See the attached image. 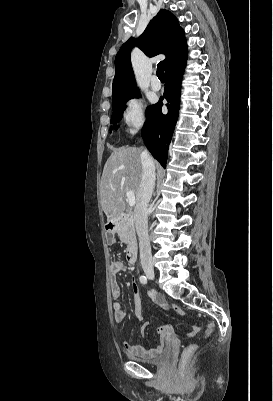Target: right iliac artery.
<instances>
[{
    "mask_svg": "<svg viewBox=\"0 0 273 401\" xmlns=\"http://www.w3.org/2000/svg\"><path fill=\"white\" fill-rule=\"evenodd\" d=\"M140 282H141L142 284H146V283H147V277L144 276V275H142V276L140 277Z\"/></svg>",
    "mask_w": 273,
    "mask_h": 401,
    "instance_id": "1",
    "label": "right iliac artery"
}]
</instances>
